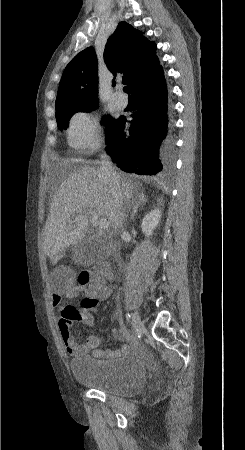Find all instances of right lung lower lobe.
<instances>
[{
    "mask_svg": "<svg viewBox=\"0 0 245 450\" xmlns=\"http://www.w3.org/2000/svg\"><path fill=\"white\" fill-rule=\"evenodd\" d=\"M135 112L129 135L125 118L116 123L106 150L120 169L129 173L162 176L172 171L174 144L168 93L162 67L131 92Z\"/></svg>",
    "mask_w": 245,
    "mask_h": 450,
    "instance_id": "obj_1",
    "label": "right lung lower lobe"
}]
</instances>
